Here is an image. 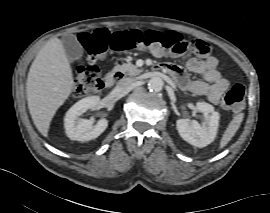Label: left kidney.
Here are the masks:
<instances>
[{"mask_svg":"<svg viewBox=\"0 0 270 213\" xmlns=\"http://www.w3.org/2000/svg\"><path fill=\"white\" fill-rule=\"evenodd\" d=\"M197 109L203 113L205 121L199 124L196 120L178 119L176 128L183 140L202 148L216 138L220 115L214 107L206 102H197Z\"/></svg>","mask_w":270,"mask_h":213,"instance_id":"5707ae66","label":"left kidney"}]
</instances>
